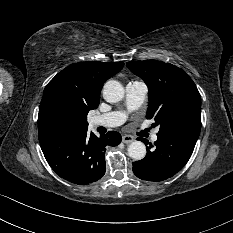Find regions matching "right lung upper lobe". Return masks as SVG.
Wrapping results in <instances>:
<instances>
[{"instance_id": "cb5924a9", "label": "right lung upper lobe", "mask_w": 233, "mask_h": 233, "mask_svg": "<svg viewBox=\"0 0 233 233\" xmlns=\"http://www.w3.org/2000/svg\"><path fill=\"white\" fill-rule=\"evenodd\" d=\"M122 62L91 61L72 64L59 72L45 87L38 115V134L70 132L88 127L89 110L96 109L103 83L118 73ZM55 102L67 104L76 114L65 124H54L47 112Z\"/></svg>"}]
</instances>
